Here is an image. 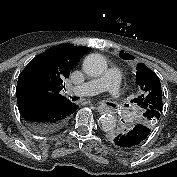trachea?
I'll return each mask as SVG.
<instances>
[{
	"mask_svg": "<svg viewBox=\"0 0 177 177\" xmlns=\"http://www.w3.org/2000/svg\"><path fill=\"white\" fill-rule=\"evenodd\" d=\"M72 101H77L79 99V97L73 96L71 97ZM108 105H112L111 103H108Z\"/></svg>",
	"mask_w": 177,
	"mask_h": 177,
	"instance_id": "3493384b",
	"label": "trachea"
}]
</instances>
